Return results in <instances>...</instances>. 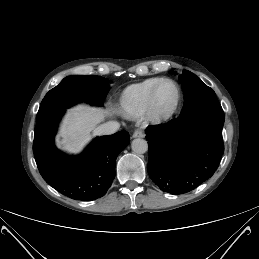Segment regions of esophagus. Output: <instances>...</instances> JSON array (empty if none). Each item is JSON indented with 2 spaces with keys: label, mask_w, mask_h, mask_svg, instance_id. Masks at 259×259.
Segmentation results:
<instances>
[{
  "label": "esophagus",
  "mask_w": 259,
  "mask_h": 259,
  "mask_svg": "<svg viewBox=\"0 0 259 259\" xmlns=\"http://www.w3.org/2000/svg\"><path fill=\"white\" fill-rule=\"evenodd\" d=\"M145 136L144 132L141 129H136L133 132V137L134 138H143Z\"/></svg>",
  "instance_id": "34e87169"
}]
</instances>
